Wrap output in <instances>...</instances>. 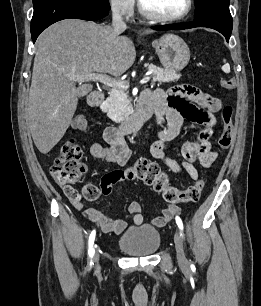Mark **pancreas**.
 <instances>
[{
  "label": "pancreas",
  "instance_id": "1",
  "mask_svg": "<svg viewBox=\"0 0 261 306\" xmlns=\"http://www.w3.org/2000/svg\"><path fill=\"white\" fill-rule=\"evenodd\" d=\"M152 71L153 82L165 83L174 82L180 78V74L175 71L162 69L155 65H146ZM127 82V81H125ZM104 109L107 116L114 122H123L130 114V101L128 99L127 88H112L109 97L104 102Z\"/></svg>",
  "mask_w": 261,
  "mask_h": 306
}]
</instances>
